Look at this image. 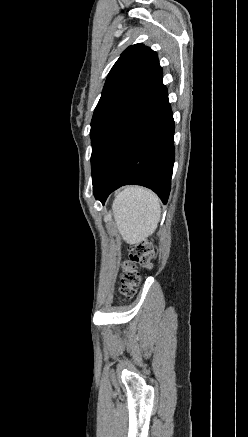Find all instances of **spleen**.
<instances>
[{
  "mask_svg": "<svg viewBox=\"0 0 248 437\" xmlns=\"http://www.w3.org/2000/svg\"><path fill=\"white\" fill-rule=\"evenodd\" d=\"M117 228L130 244L141 241L160 220L158 196L149 189L129 186L119 192L112 206Z\"/></svg>",
  "mask_w": 248,
  "mask_h": 437,
  "instance_id": "1",
  "label": "spleen"
}]
</instances>
